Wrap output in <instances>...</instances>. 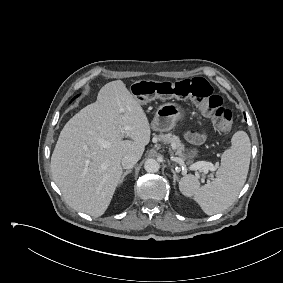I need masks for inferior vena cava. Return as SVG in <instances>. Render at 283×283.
I'll return each instance as SVG.
<instances>
[{
    "label": "inferior vena cava",
    "mask_w": 283,
    "mask_h": 283,
    "mask_svg": "<svg viewBox=\"0 0 283 283\" xmlns=\"http://www.w3.org/2000/svg\"><path fill=\"white\" fill-rule=\"evenodd\" d=\"M139 157L136 154H127L122 158L121 164L124 169L133 168V166L138 162Z\"/></svg>",
    "instance_id": "inferior-vena-cava-1"
}]
</instances>
